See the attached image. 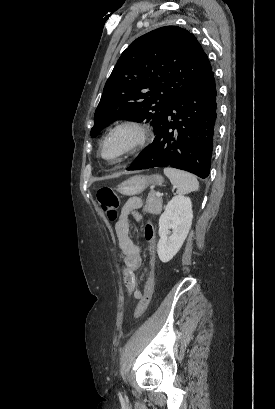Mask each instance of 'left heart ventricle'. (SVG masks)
Returning <instances> with one entry per match:
<instances>
[{
    "mask_svg": "<svg viewBox=\"0 0 275 409\" xmlns=\"http://www.w3.org/2000/svg\"><path fill=\"white\" fill-rule=\"evenodd\" d=\"M125 139L123 137H119L112 141L107 147H106V154L108 155H113L117 153L122 145L124 144Z\"/></svg>",
    "mask_w": 275,
    "mask_h": 409,
    "instance_id": "1",
    "label": "left heart ventricle"
}]
</instances>
